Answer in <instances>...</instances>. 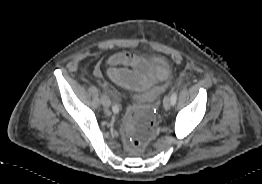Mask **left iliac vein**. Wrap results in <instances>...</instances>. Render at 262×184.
<instances>
[{"label": "left iliac vein", "instance_id": "1", "mask_svg": "<svg viewBox=\"0 0 262 184\" xmlns=\"http://www.w3.org/2000/svg\"><path fill=\"white\" fill-rule=\"evenodd\" d=\"M163 107L165 110H169L171 107V98L170 97H166L163 103Z\"/></svg>", "mask_w": 262, "mask_h": 184}]
</instances>
